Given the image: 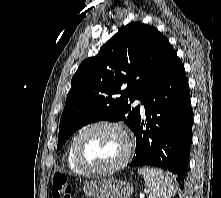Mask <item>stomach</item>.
<instances>
[{"label": "stomach", "instance_id": "stomach-1", "mask_svg": "<svg viewBox=\"0 0 221 198\" xmlns=\"http://www.w3.org/2000/svg\"><path fill=\"white\" fill-rule=\"evenodd\" d=\"M83 190L89 198H128L134 193L129 182L114 178L88 181Z\"/></svg>", "mask_w": 221, "mask_h": 198}]
</instances>
